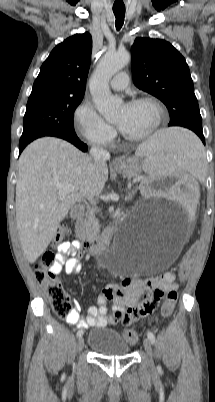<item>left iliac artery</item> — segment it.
Returning <instances> with one entry per match:
<instances>
[{
  "label": "left iliac artery",
  "mask_w": 215,
  "mask_h": 402,
  "mask_svg": "<svg viewBox=\"0 0 215 402\" xmlns=\"http://www.w3.org/2000/svg\"><path fill=\"white\" fill-rule=\"evenodd\" d=\"M147 336H148V339L150 340V342L152 344H155V336L151 331H148Z\"/></svg>",
  "instance_id": "44dca946"
}]
</instances>
